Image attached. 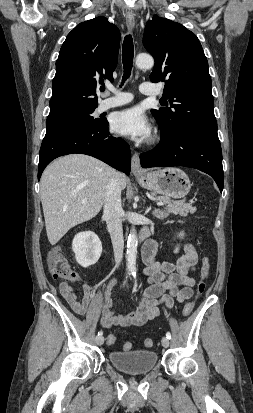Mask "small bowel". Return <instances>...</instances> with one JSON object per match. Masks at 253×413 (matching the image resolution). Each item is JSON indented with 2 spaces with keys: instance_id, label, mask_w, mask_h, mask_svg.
<instances>
[{
  "instance_id": "small-bowel-1",
  "label": "small bowel",
  "mask_w": 253,
  "mask_h": 413,
  "mask_svg": "<svg viewBox=\"0 0 253 413\" xmlns=\"http://www.w3.org/2000/svg\"><path fill=\"white\" fill-rule=\"evenodd\" d=\"M181 249L183 254L176 260L158 261L155 258L156 242H147L143 248L142 258L145 264L143 273L149 285L142 294L138 309L127 314H116L112 311V302L108 291L116 283V280L111 279L101 309V325L105 328L140 326L160 315V304L170 308L174 301L183 303L191 299L195 280L190 276V273L196 269L198 254L190 243L176 244L174 252L177 254ZM79 280V276L75 274L69 281L61 282L59 290L74 312L85 315L93 305L97 288L84 283L81 286L82 295L78 297L70 283H77Z\"/></svg>"
}]
</instances>
